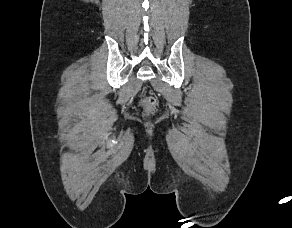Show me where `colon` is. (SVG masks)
I'll use <instances>...</instances> for the list:
<instances>
[{
	"instance_id": "1",
	"label": "colon",
	"mask_w": 292,
	"mask_h": 228,
	"mask_svg": "<svg viewBox=\"0 0 292 228\" xmlns=\"http://www.w3.org/2000/svg\"><path fill=\"white\" fill-rule=\"evenodd\" d=\"M143 104L148 111H151L156 105V100L153 97H146Z\"/></svg>"
}]
</instances>
